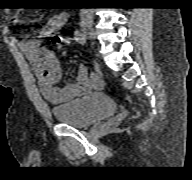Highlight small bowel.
Returning <instances> with one entry per match:
<instances>
[{
  "label": "small bowel",
  "mask_w": 192,
  "mask_h": 180,
  "mask_svg": "<svg viewBox=\"0 0 192 180\" xmlns=\"http://www.w3.org/2000/svg\"><path fill=\"white\" fill-rule=\"evenodd\" d=\"M67 19L66 12L55 14L42 29L43 37L51 36L60 29ZM13 22H20V14L13 16ZM20 47L25 52L34 67L38 79L40 92L45 99L51 103L58 104L83 96L93 90L103 87V81L97 74H89L85 65L78 66L74 83H65L61 87L57 84L61 79V68L53 51L43 47L39 40L23 39Z\"/></svg>",
  "instance_id": "small-bowel-1"
}]
</instances>
